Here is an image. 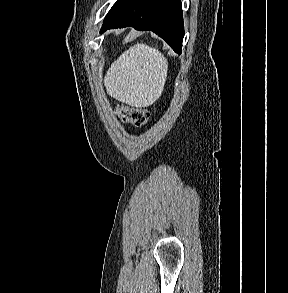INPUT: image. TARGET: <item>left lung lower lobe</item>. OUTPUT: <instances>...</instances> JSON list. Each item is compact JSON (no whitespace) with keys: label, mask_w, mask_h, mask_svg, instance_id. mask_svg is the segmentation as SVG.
<instances>
[{"label":"left lung lower lobe","mask_w":288,"mask_h":293,"mask_svg":"<svg viewBox=\"0 0 288 293\" xmlns=\"http://www.w3.org/2000/svg\"><path fill=\"white\" fill-rule=\"evenodd\" d=\"M127 26L153 31L181 53L184 27L180 0H121L105 17L100 33Z\"/></svg>","instance_id":"0a47b994"}]
</instances>
